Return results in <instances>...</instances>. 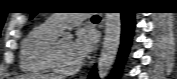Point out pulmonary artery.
I'll return each instance as SVG.
<instances>
[{"label": "pulmonary artery", "instance_id": "e3ab8cb5", "mask_svg": "<svg viewBox=\"0 0 177 79\" xmlns=\"http://www.w3.org/2000/svg\"><path fill=\"white\" fill-rule=\"evenodd\" d=\"M88 16V14H52L47 22L61 31L69 25L83 21Z\"/></svg>", "mask_w": 177, "mask_h": 79}]
</instances>
